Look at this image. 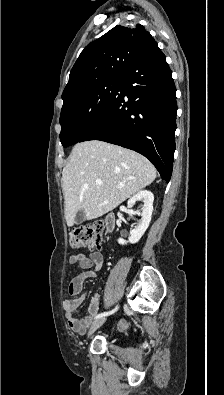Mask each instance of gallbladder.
<instances>
[{"mask_svg":"<svg viewBox=\"0 0 224 395\" xmlns=\"http://www.w3.org/2000/svg\"><path fill=\"white\" fill-rule=\"evenodd\" d=\"M85 220V212L83 209L78 210L75 216V224H81Z\"/></svg>","mask_w":224,"mask_h":395,"instance_id":"1","label":"gallbladder"}]
</instances>
